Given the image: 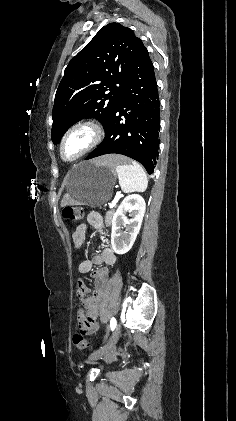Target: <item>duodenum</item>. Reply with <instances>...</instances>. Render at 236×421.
Listing matches in <instances>:
<instances>
[{
	"label": "duodenum",
	"mask_w": 236,
	"mask_h": 421,
	"mask_svg": "<svg viewBox=\"0 0 236 421\" xmlns=\"http://www.w3.org/2000/svg\"><path fill=\"white\" fill-rule=\"evenodd\" d=\"M93 260L99 264L112 265L116 260V255L112 250L105 249L101 256H95ZM94 277L97 281V286L93 292V296L85 299V303L90 310L91 318L95 316L100 308L105 282L107 280V270L105 268L97 269L94 272ZM83 319H85V315L83 316Z\"/></svg>",
	"instance_id": "410a0bca"
}]
</instances>
